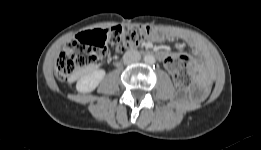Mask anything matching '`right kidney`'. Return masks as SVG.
Wrapping results in <instances>:
<instances>
[{"label": "right kidney", "mask_w": 261, "mask_h": 150, "mask_svg": "<svg viewBox=\"0 0 261 150\" xmlns=\"http://www.w3.org/2000/svg\"><path fill=\"white\" fill-rule=\"evenodd\" d=\"M105 70L99 69L85 74L76 84L77 91L81 93H89L95 90L105 77Z\"/></svg>", "instance_id": "1"}]
</instances>
